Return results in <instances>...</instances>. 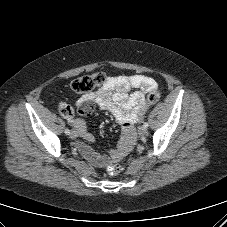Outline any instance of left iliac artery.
Instances as JSON below:
<instances>
[{"instance_id": "44dca946", "label": "left iliac artery", "mask_w": 227, "mask_h": 227, "mask_svg": "<svg viewBox=\"0 0 227 227\" xmlns=\"http://www.w3.org/2000/svg\"><path fill=\"white\" fill-rule=\"evenodd\" d=\"M145 128H147L149 125H148V123H144V125H143Z\"/></svg>"}]
</instances>
